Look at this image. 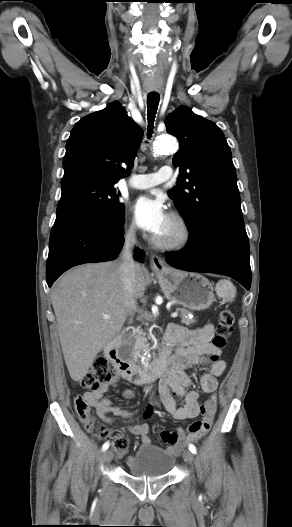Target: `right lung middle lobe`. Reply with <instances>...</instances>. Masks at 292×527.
Listing matches in <instances>:
<instances>
[{"label":"right lung middle lobe","instance_id":"dd1d6c3e","mask_svg":"<svg viewBox=\"0 0 292 527\" xmlns=\"http://www.w3.org/2000/svg\"><path fill=\"white\" fill-rule=\"evenodd\" d=\"M62 194L57 211L66 208L82 209L118 223L124 217V204L119 202L114 184L87 178L61 182Z\"/></svg>","mask_w":292,"mask_h":527}]
</instances>
